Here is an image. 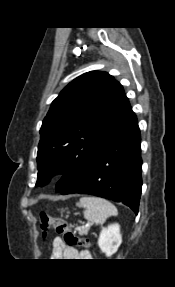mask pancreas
<instances>
[{
	"instance_id": "cf45deb5",
	"label": "pancreas",
	"mask_w": 175,
	"mask_h": 287,
	"mask_svg": "<svg viewBox=\"0 0 175 287\" xmlns=\"http://www.w3.org/2000/svg\"><path fill=\"white\" fill-rule=\"evenodd\" d=\"M89 229H90V226H83V227L79 230V234H80V235H87Z\"/></svg>"
}]
</instances>
